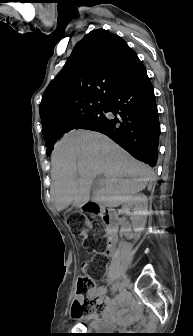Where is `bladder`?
I'll return each instance as SVG.
<instances>
[{
    "label": "bladder",
    "mask_w": 193,
    "mask_h": 336,
    "mask_svg": "<svg viewBox=\"0 0 193 336\" xmlns=\"http://www.w3.org/2000/svg\"><path fill=\"white\" fill-rule=\"evenodd\" d=\"M101 326V323H96L94 326H92L90 329L95 330L97 327Z\"/></svg>",
    "instance_id": "bladder-1"
}]
</instances>
